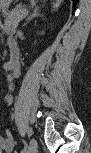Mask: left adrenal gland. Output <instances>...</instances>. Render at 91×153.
I'll list each match as a JSON object with an SVG mask.
<instances>
[{"instance_id": "a2214340", "label": "left adrenal gland", "mask_w": 91, "mask_h": 153, "mask_svg": "<svg viewBox=\"0 0 91 153\" xmlns=\"http://www.w3.org/2000/svg\"><path fill=\"white\" fill-rule=\"evenodd\" d=\"M40 12L39 9H34L33 13L26 19V23L30 22L32 19H34L35 17L39 16Z\"/></svg>"}]
</instances>
